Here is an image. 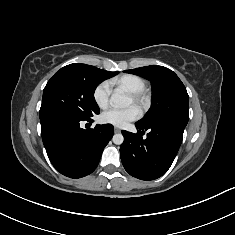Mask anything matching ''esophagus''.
<instances>
[{
	"instance_id": "obj_1",
	"label": "esophagus",
	"mask_w": 235,
	"mask_h": 235,
	"mask_svg": "<svg viewBox=\"0 0 235 235\" xmlns=\"http://www.w3.org/2000/svg\"><path fill=\"white\" fill-rule=\"evenodd\" d=\"M114 132H115V133H119V132H121V129L118 128V127H114Z\"/></svg>"
}]
</instances>
